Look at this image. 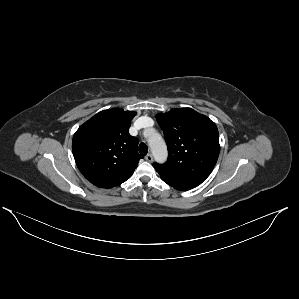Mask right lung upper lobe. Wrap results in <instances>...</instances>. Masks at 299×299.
I'll list each match as a JSON object with an SVG mask.
<instances>
[{"mask_svg": "<svg viewBox=\"0 0 299 299\" xmlns=\"http://www.w3.org/2000/svg\"><path fill=\"white\" fill-rule=\"evenodd\" d=\"M135 112L104 110L79 127L73 137L75 162L97 187L112 188L128 180L141 158L138 139L129 134Z\"/></svg>", "mask_w": 299, "mask_h": 299, "instance_id": "cb5924a9", "label": "right lung upper lobe"}]
</instances>
